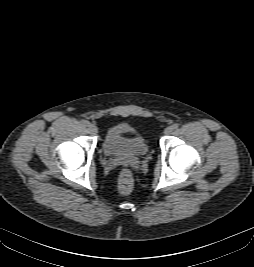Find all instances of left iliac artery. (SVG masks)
Listing matches in <instances>:
<instances>
[{
  "label": "left iliac artery",
  "mask_w": 254,
  "mask_h": 267,
  "mask_svg": "<svg viewBox=\"0 0 254 267\" xmlns=\"http://www.w3.org/2000/svg\"><path fill=\"white\" fill-rule=\"evenodd\" d=\"M178 127H179V124H177V123L173 124L174 129H177Z\"/></svg>",
  "instance_id": "1"
}]
</instances>
